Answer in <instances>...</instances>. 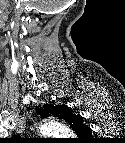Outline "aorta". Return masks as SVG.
Masks as SVG:
<instances>
[{
  "label": "aorta",
  "instance_id": "1",
  "mask_svg": "<svg viewBox=\"0 0 125 143\" xmlns=\"http://www.w3.org/2000/svg\"><path fill=\"white\" fill-rule=\"evenodd\" d=\"M40 133L42 135H53V134H63L66 135L68 133H71L69 128L65 126V124L61 122H47L39 127Z\"/></svg>",
  "mask_w": 125,
  "mask_h": 143
}]
</instances>
